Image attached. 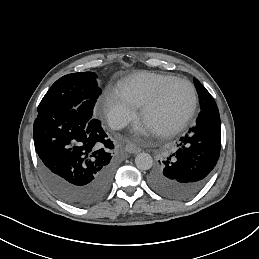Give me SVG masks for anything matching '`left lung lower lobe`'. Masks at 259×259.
Wrapping results in <instances>:
<instances>
[{"instance_id": "1", "label": "left lung lower lobe", "mask_w": 259, "mask_h": 259, "mask_svg": "<svg viewBox=\"0 0 259 259\" xmlns=\"http://www.w3.org/2000/svg\"><path fill=\"white\" fill-rule=\"evenodd\" d=\"M178 150L148 178L150 187L168 198L183 200L198 193L208 181L221 148L218 107L201 110L196 125L180 138Z\"/></svg>"}]
</instances>
